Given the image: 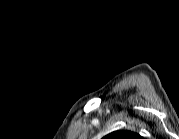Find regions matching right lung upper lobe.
Wrapping results in <instances>:
<instances>
[{
    "label": "right lung upper lobe",
    "mask_w": 179,
    "mask_h": 139,
    "mask_svg": "<svg viewBox=\"0 0 179 139\" xmlns=\"http://www.w3.org/2000/svg\"><path fill=\"white\" fill-rule=\"evenodd\" d=\"M105 139H138L140 136L131 131H115L104 137Z\"/></svg>",
    "instance_id": "1"
}]
</instances>
